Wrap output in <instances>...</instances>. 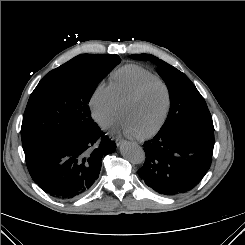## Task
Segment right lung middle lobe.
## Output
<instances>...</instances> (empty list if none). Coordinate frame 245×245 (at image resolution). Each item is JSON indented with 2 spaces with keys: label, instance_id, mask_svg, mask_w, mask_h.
<instances>
[{
  "label": "right lung middle lobe",
  "instance_id": "obj_1",
  "mask_svg": "<svg viewBox=\"0 0 245 245\" xmlns=\"http://www.w3.org/2000/svg\"><path fill=\"white\" fill-rule=\"evenodd\" d=\"M120 62L118 55L81 54L45 75L24 112V152L63 134L91 128L95 122L89 101L98 83Z\"/></svg>",
  "mask_w": 245,
  "mask_h": 245
}]
</instances>
